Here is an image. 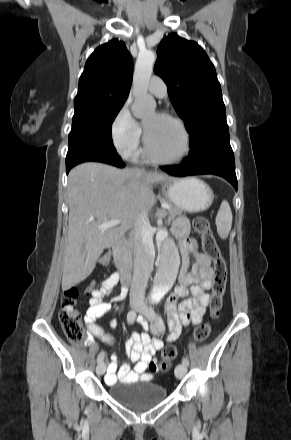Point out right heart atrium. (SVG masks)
<instances>
[{
	"label": "right heart atrium",
	"instance_id": "obj_1",
	"mask_svg": "<svg viewBox=\"0 0 291 440\" xmlns=\"http://www.w3.org/2000/svg\"><path fill=\"white\" fill-rule=\"evenodd\" d=\"M141 137L139 122L130 113L128 105H123L111 126L114 148L123 157L132 158L139 152Z\"/></svg>",
	"mask_w": 291,
	"mask_h": 440
}]
</instances>
